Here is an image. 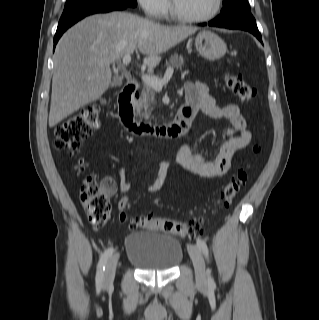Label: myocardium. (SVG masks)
<instances>
[{
  "label": "myocardium",
  "instance_id": "obj_1",
  "mask_svg": "<svg viewBox=\"0 0 319 320\" xmlns=\"http://www.w3.org/2000/svg\"><path fill=\"white\" fill-rule=\"evenodd\" d=\"M222 5H223V0H216L215 8L208 15L201 16V17H190V16H185V15L180 14L175 9L173 1L170 0L169 12H170V16L174 20H176L178 22H182V23H205V22L211 21L212 19H214L219 14V12L222 9Z\"/></svg>",
  "mask_w": 319,
  "mask_h": 320
}]
</instances>
